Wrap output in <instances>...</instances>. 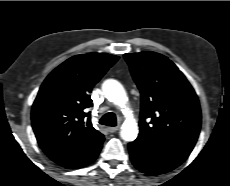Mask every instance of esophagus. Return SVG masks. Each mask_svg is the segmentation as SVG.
Segmentation results:
<instances>
[{
    "mask_svg": "<svg viewBox=\"0 0 230 186\" xmlns=\"http://www.w3.org/2000/svg\"><path fill=\"white\" fill-rule=\"evenodd\" d=\"M119 126H116V127H109L108 128V131L110 132V133H115L116 131H118L119 130Z\"/></svg>",
    "mask_w": 230,
    "mask_h": 186,
    "instance_id": "esophagus-1",
    "label": "esophagus"
}]
</instances>
